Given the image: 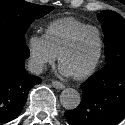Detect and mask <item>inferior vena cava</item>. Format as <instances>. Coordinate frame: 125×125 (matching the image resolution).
Wrapping results in <instances>:
<instances>
[{
    "mask_svg": "<svg viewBox=\"0 0 125 125\" xmlns=\"http://www.w3.org/2000/svg\"><path fill=\"white\" fill-rule=\"evenodd\" d=\"M28 70L33 73V74H36V75H39L43 72V64L37 60H29L28 61Z\"/></svg>",
    "mask_w": 125,
    "mask_h": 125,
    "instance_id": "1",
    "label": "inferior vena cava"
}]
</instances>
